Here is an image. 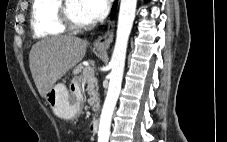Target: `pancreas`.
Here are the masks:
<instances>
[{"label":"pancreas","instance_id":"pancreas-1","mask_svg":"<svg viewBox=\"0 0 227 142\" xmlns=\"http://www.w3.org/2000/svg\"><path fill=\"white\" fill-rule=\"evenodd\" d=\"M84 70L82 75H79L75 78V81L79 84L80 90L83 93L87 92L89 96L88 103L92 106L93 111L97 113L100 108V98L98 93L97 81L94 77L92 79H88L87 76L84 74Z\"/></svg>","mask_w":227,"mask_h":142}]
</instances>
